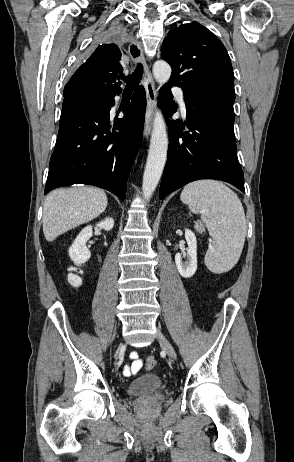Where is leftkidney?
<instances>
[{
  "label": "left kidney",
  "mask_w": 294,
  "mask_h": 462,
  "mask_svg": "<svg viewBox=\"0 0 294 462\" xmlns=\"http://www.w3.org/2000/svg\"><path fill=\"white\" fill-rule=\"evenodd\" d=\"M185 239L188 250L184 254L177 253L175 263L180 275L184 278H190L197 270V240L195 234L189 229L185 230ZM183 258L186 260L183 261Z\"/></svg>",
  "instance_id": "left-kidney-1"
}]
</instances>
